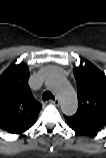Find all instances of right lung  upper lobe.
<instances>
[{
	"label": "right lung upper lobe",
	"instance_id": "obj_1",
	"mask_svg": "<svg viewBox=\"0 0 106 158\" xmlns=\"http://www.w3.org/2000/svg\"><path fill=\"white\" fill-rule=\"evenodd\" d=\"M28 80L23 62L13 63L0 76V129L21 134L36 122L42 105L34 99Z\"/></svg>",
	"mask_w": 106,
	"mask_h": 158
}]
</instances>
